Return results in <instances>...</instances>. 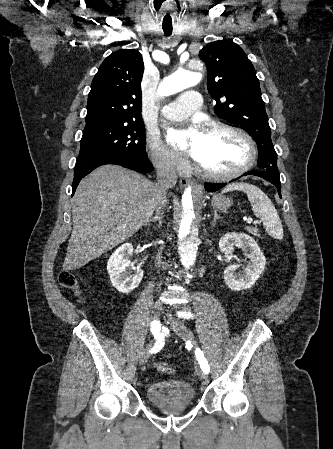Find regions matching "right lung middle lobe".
<instances>
[{"mask_svg": "<svg viewBox=\"0 0 333 449\" xmlns=\"http://www.w3.org/2000/svg\"><path fill=\"white\" fill-rule=\"evenodd\" d=\"M92 154L145 158V136L142 121L97 124L85 127L79 156Z\"/></svg>", "mask_w": 333, "mask_h": 449, "instance_id": "dd1d6c3e", "label": "right lung middle lobe"}]
</instances>
